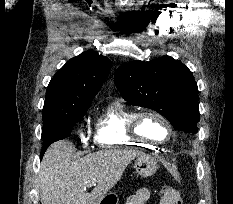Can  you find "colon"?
<instances>
[{
    "instance_id": "obj_1",
    "label": "colon",
    "mask_w": 233,
    "mask_h": 204,
    "mask_svg": "<svg viewBox=\"0 0 233 204\" xmlns=\"http://www.w3.org/2000/svg\"><path fill=\"white\" fill-rule=\"evenodd\" d=\"M160 195L161 199L159 204H180L181 194L171 186H164L161 189Z\"/></svg>"
}]
</instances>
